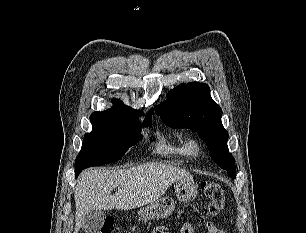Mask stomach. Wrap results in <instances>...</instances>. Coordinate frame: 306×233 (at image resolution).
I'll return each instance as SVG.
<instances>
[{
	"instance_id": "stomach-1",
	"label": "stomach",
	"mask_w": 306,
	"mask_h": 233,
	"mask_svg": "<svg viewBox=\"0 0 306 233\" xmlns=\"http://www.w3.org/2000/svg\"><path fill=\"white\" fill-rule=\"evenodd\" d=\"M197 189L192 178L178 180L175 187L176 197L180 202H190L196 198ZM174 209V201L169 196H165L141 208L138 215L142 221L163 219L170 216Z\"/></svg>"
}]
</instances>
